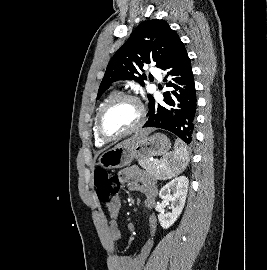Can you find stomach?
I'll return each instance as SVG.
<instances>
[{
    "label": "stomach",
    "mask_w": 267,
    "mask_h": 270,
    "mask_svg": "<svg viewBox=\"0 0 267 270\" xmlns=\"http://www.w3.org/2000/svg\"><path fill=\"white\" fill-rule=\"evenodd\" d=\"M171 147L169 139L161 133L148 135L140 141L123 146H115L101 154L98 164L105 169L128 166L134 159H149L165 155Z\"/></svg>",
    "instance_id": "0dacf381"
}]
</instances>
